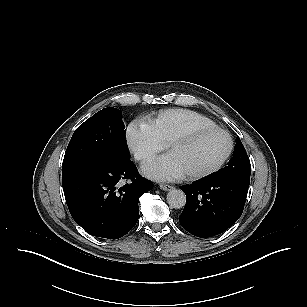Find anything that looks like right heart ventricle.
<instances>
[{
    "instance_id": "right-heart-ventricle-1",
    "label": "right heart ventricle",
    "mask_w": 307,
    "mask_h": 307,
    "mask_svg": "<svg viewBox=\"0 0 307 307\" xmlns=\"http://www.w3.org/2000/svg\"><path fill=\"white\" fill-rule=\"evenodd\" d=\"M143 123L162 146L189 130L216 125L205 115L186 109L164 110L155 117H148Z\"/></svg>"
}]
</instances>
